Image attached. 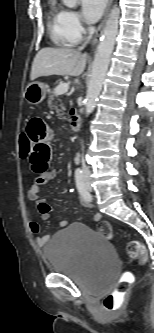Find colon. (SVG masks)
I'll list each match as a JSON object with an SVG mask.
<instances>
[{
    "label": "colon",
    "mask_w": 154,
    "mask_h": 333,
    "mask_svg": "<svg viewBox=\"0 0 154 333\" xmlns=\"http://www.w3.org/2000/svg\"><path fill=\"white\" fill-rule=\"evenodd\" d=\"M32 149V142L29 136L24 133L19 138V155L21 158L26 159L30 156ZM97 231L108 239L113 236L112 227L109 222L102 221L97 226ZM127 253L132 259L144 261L146 250L142 242L138 240L130 241L127 245ZM131 274H125L117 283L113 292L107 294L103 300L102 305L108 311H116L122 305L124 297L131 285Z\"/></svg>",
    "instance_id": "obj_1"
}]
</instances>
